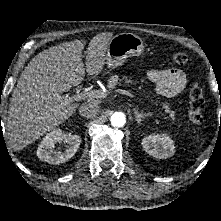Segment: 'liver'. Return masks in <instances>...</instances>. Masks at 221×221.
<instances>
[{"instance_id":"liver-1","label":"liver","mask_w":221,"mask_h":221,"mask_svg":"<svg viewBox=\"0 0 221 221\" xmlns=\"http://www.w3.org/2000/svg\"><path fill=\"white\" fill-rule=\"evenodd\" d=\"M113 33H100L89 42L86 65L85 41L65 42L36 55L25 67L12 92L7 116V135L14 151H20L70 118L79 103H66L63 93L79 85L85 76H97Z\"/></svg>"}]
</instances>
